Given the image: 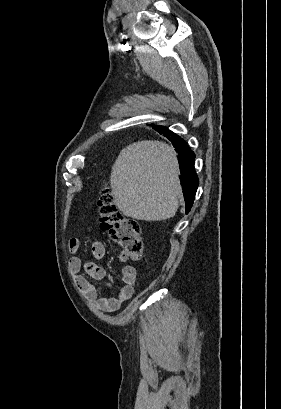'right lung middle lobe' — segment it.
Segmentation results:
<instances>
[{
	"instance_id": "1",
	"label": "right lung middle lobe",
	"mask_w": 281,
	"mask_h": 409,
	"mask_svg": "<svg viewBox=\"0 0 281 409\" xmlns=\"http://www.w3.org/2000/svg\"><path fill=\"white\" fill-rule=\"evenodd\" d=\"M153 128L156 129V130H164L165 129V127H162V126H153Z\"/></svg>"
}]
</instances>
